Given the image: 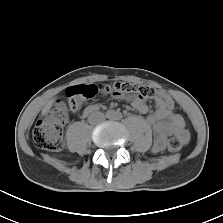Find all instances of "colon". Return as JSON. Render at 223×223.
<instances>
[{
	"instance_id": "colon-1",
	"label": "colon",
	"mask_w": 223,
	"mask_h": 223,
	"mask_svg": "<svg viewBox=\"0 0 223 223\" xmlns=\"http://www.w3.org/2000/svg\"><path fill=\"white\" fill-rule=\"evenodd\" d=\"M100 91L113 96L135 95L141 100L160 98L167 110L172 111L176 107L175 100L166 91L148 85L119 81L106 86L86 84L70 87L67 90L69 108L73 111L80 110L85 101L94 98ZM67 121V105L56 103L34 126L32 140L35 146L52 152L61 151L64 147L62 128ZM167 145L171 152H178L182 142L178 137H171Z\"/></svg>"
}]
</instances>
